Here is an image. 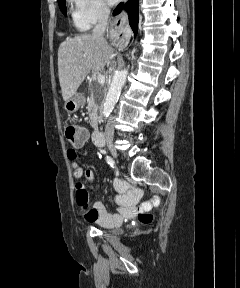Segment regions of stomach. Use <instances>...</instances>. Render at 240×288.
Listing matches in <instances>:
<instances>
[{"label":"stomach","mask_w":240,"mask_h":288,"mask_svg":"<svg viewBox=\"0 0 240 288\" xmlns=\"http://www.w3.org/2000/svg\"><path fill=\"white\" fill-rule=\"evenodd\" d=\"M82 105V99L79 94H74L68 101L65 102V109L72 113L78 110Z\"/></svg>","instance_id":"obj_1"}]
</instances>
